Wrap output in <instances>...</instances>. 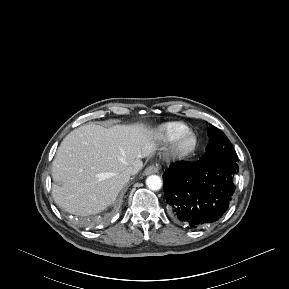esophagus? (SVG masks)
I'll return each mask as SVG.
<instances>
[{"mask_svg":"<svg viewBox=\"0 0 289 289\" xmlns=\"http://www.w3.org/2000/svg\"><path fill=\"white\" fill-rule=\"evenodd\" d=\"M158 171H159V169L156 165H150L145 169L144 174L145 175L155 174Z\"/></svg>","mask_w":289,"mask_h":289,"instance_id":"obj_1","label":"esophagus"}]
</instances>
